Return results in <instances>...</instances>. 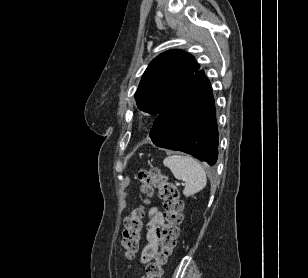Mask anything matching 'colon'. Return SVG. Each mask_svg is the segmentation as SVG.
<instances>
[{
    "label": "colon",
    "mask_w": 308,
    "mask_h": 278,
    "mask_svg": "<svg viewBox=\"0 0 308 278\" xmlns=\"http://www.w3.org/2000/svg\"><path fill=\"white\" fill-rule=\"evenodd\" d=\"M140 192L150 197L158 189L163 201L165 222L156 229L159 249L146 264L142 278H161L163 268L172 255L179 235L183 204L176 186L169 182L159 169H142L138 172ZM146 203V201L144 202ZM144 204L132 209L124 222L122 248L124 255L131 259L138 252L143 229Z\"/></svg>",
    "instance_id": "1"
}]
</instances>
